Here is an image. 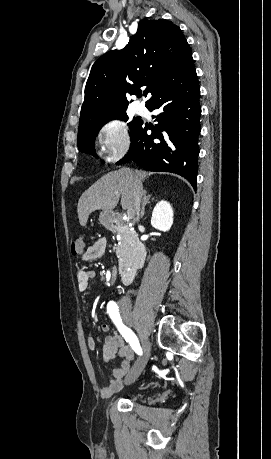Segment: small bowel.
<instances>
[{
	"label": "small bowel",
	"mask_w": 271,
	"mask_h": 459,
	"mask_svg": "<svg viewBox=\"0 0 271 459\" xmlns=\"http://www.w3.org/2000/svg\"><path fill=\"white\" fill-rule=\"evenodd\" d=\"M106 248L107 240L105 238L97 239L86 249L81 257V261L86 263L101 258L106 252ZM94 277V271L82 267L79 268L77 273L78 289L80 291H85ZM100 328L103 332L110 331V325L108 323H102ZM87 347L90 350H95L97 347L96 340L92 336L87 338ZM103 356L107 361H111L117 357L121 358L120 366L113 370L108 384L100 390V396L102 398H109L122 389L126 378L131 374V364L134 359V353L119 334L112 333L106 336L104 340Z\"/></svg>",
	"instance_id": "small-bowel-1"
}]
</instances>
